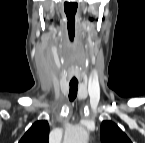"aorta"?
<instances>
[{
    "mask_svg": "<svg viewBox=\"0 0 145 143\" xmlns=\"http://www.w3.org/2000/svg\"><path fill=\"white\" fill-rule=\"evenodd\" d=\"M88 132L82 127H73L66 132L64 143H87Z\"/></svg>",
    "mask_w": 145,
    "mask_h": 143,
    "instance_id": "aorta-1",
    "label": "aorta"
}]
</instances>
